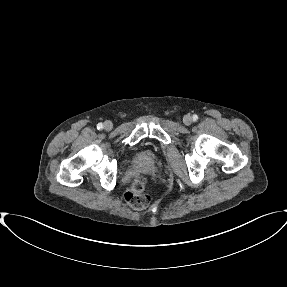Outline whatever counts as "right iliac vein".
I'll list each match as a JSON object with an SVG mask.
<instances>
[{"label":"right iliac vein","mask_w":287,"mask_h":287,"mask_svg":"<svg viewBox=\"0 0 287 287\" xmlns=\"http://www.w3.org/2000/svg\"><path fill=\"white\" fill-rule=\"evenodd\" d=\"M104 129L105 130H111L112 129V123L110 121H106L104 123Z\"/></svg>","instance_id":"right-iliac-vein-1"}]
</instances>
